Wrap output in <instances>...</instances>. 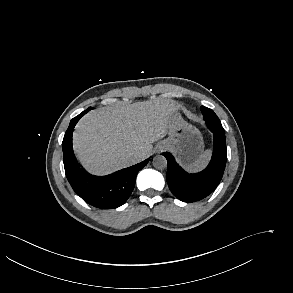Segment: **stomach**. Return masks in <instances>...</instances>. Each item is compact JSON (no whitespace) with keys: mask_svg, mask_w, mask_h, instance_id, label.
I'll use <instances>...</instances> for the list:
<instances>
[{"mask_svg":"<svg viewBox=\"0 0 293 293\" xmlns=\"http://www.w3.org/2000/svg\"><path fill=\"white\" fill-rule=\"evenodd\" d=\"M168 135L169 137L163 142L185 167L190 166L204 151L200 131L184 121L179 113L170 117Z\"/></svg>","mask_w":293,"mask_h":293,"instance_id":"stomach-1","label":"stomach"}]
</instances>
